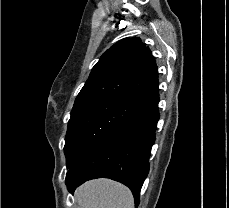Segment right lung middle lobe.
<instances>
[{
    "label": "right lung middle lobe",
    "mask_w": 229,
    "mask_h": 208,
    "mask_svg": "<svg viewBox=\"0 0 229 208\" xmlns=\"http://www.w3.org/2000/svg\"><path fill=\"white\" fill-rule=\"evenodd\" d=\"M145 107L142 103L119 96L101 97L74 106L64 146L68 172L94 144Z\"/></svg>",
    "instance_id": "dd1d6c3e"
}]
</instances>
